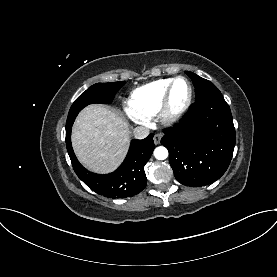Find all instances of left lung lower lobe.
<instances>
[{"mask_svg":"<svg viewBox=\"0 0 277 277\" xmlns=\"http://www.w3.org/2000/svg\"><path fill=\"white\" fill-rule=\"evenodd\" d=\"M161 144L181 184L200 187L218 180L227 170L235 147V128L223 95L196 102L183 121L164 131Z\"/></svg>","mask_w":277,"mask_h":277,"instance_id":"0a47b994","label":"left lung lower lobe"}]
</instances>
